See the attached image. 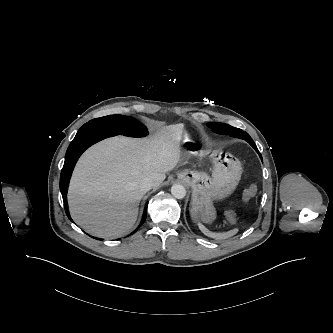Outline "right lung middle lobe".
Masks as SVG:
<instances>
[{"instance_id":"right-lung-middle-lobe-1","label":"right lung middle lobe","mask_w":333,"mask_h":333,"mask_svg":"<svg viewBox=\"0 0 333 333\" xmlns=\"http://www.w3.org/2000/svg\"><path fill=\"white\" fill-rule=\"evenodd\" d=\"M96 129L116 132L117 134L131 137H141L148 133L147 128L143 124L133 117L124 115H109L93 119L85 123L78 132Z\"/></svg>"}]
</instances>
